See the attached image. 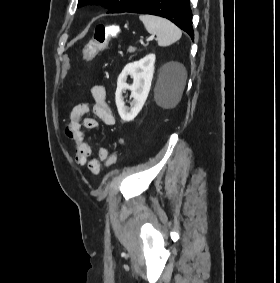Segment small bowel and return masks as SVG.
Wrapping results in <instances>:
<instances>
[{"instance_id":"obj_1","label":"small bowel","mask_w":280,"mask_h":283,"mask_svg":"<svg viewBox=\"0 0 280 283\" xmlns=\"http://www.w3.org/2000/svg\"><path fill=\"white\" fill-rule=\"evenodd\" d=\"M94 103H79L73 107L70 112L69 120L65 126L66 135L73 140L75 144V162L84 166L93 174H99L101 162H107L110 152L107 148L101 147L98 151V157L91 158L92 150L89 143L85 140L83 128L96 129L98 121L92 118H85V115L92 112L104 125L111 126L115 123L112 111L106 103L105 89L101 85H95L91 89ZM123 144V139L118 140Z\"/></svg>"}]
</instances>
